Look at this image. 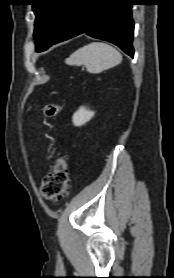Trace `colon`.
I'll return each mask as SVG.
<instances>
[{"instance_id":"obj_1","label":"colon","mask_w":174,"mask_h":278,"mask_svg":"<svg viewBox=\"0 0 174 278\" xmlns=\"http://www.w3.org/2000/svg\"><path fill=\"white\" fill-rule=\"evenodd\" d=\"M62 110L61 105L49 103L43 108L46 117H56ZM41 195L49 201H59L69 195V171L67 160L59 156L54 160L51 171L43 178Z\"/></svg>"}]
</instances>
